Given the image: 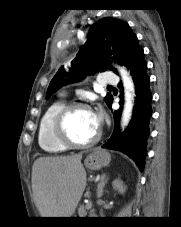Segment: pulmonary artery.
I'll return each instance as SVG.
<instances>
[{
    "label": "pulmonary artery",
    "instance_id": "pulmonary-artery-1",
    "mask_svg": "<svg viewBox=\"0 0 181 227\" xmlns=\"http://www.w3.org/2000/svg\"><path fill=\"white\" fill-rule=\"evenodd\" d=\"M119 81L118 77L113 73H103L99 79L100 85H112L117 84Z\"/></svg>",
    "mask_w": 181,
    "mask_h": 227
}]
</instances>
